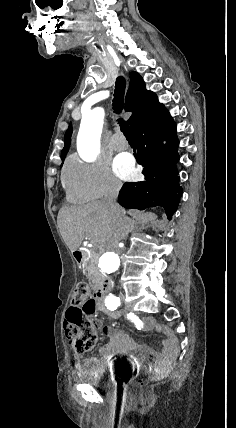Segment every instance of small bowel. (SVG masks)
I'll use <instances>...</instances> for the list:
<instances>
[{"label":"small bowel","mask_w":236,"mask_h":428,"mask_svg":"<svg viewBox=\"0 0 236 428\" xmlns=\"http://www.w3.org/2000/svg\"><path fill=\"white\" fill-rule=\"evenodd\" d=\"M97 307L100 311L105 312L111 319L126 317L138 329L144 331L156 329L164 336L163 343L165 350L162 353H159L146 344L136 342L123 330L115 327L104 326L102 327V333L109 337V342L103 345L100 349L103 359L112 360L118 355H129L131 362L139 367L143 362L152 358L154 368L158 371H163L177 355L179 350L177 340L167 326L159 324L151 318L140 319L136 316H129L123 312L109 311L104 307L103 303H97ZM100 326V323H95V328ZM93 363H95V359L87 361L84 360L80 354L75 356L76 368H81L83 364L87 366Z\"/></svg>","instance_id":"c3829d8e"}]
</instances>
